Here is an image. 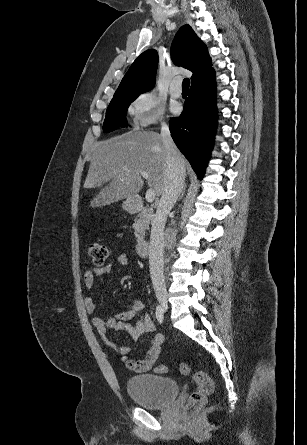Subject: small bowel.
<instances>
[{"label":"small bowel","mask_w":307,"mask_h":445,"mask_svg":"<svg viewBox=\"0 0 307 445\" xmlns=\"http://www.w3.org/2000/svg\"><path fill=\"white\" fill-rule=\"evenodd\" d=\"M129 263L127 254H119L111 263L98 268H90L84 274V283L88 289H91L96 281V278L106 275L112 271L115 266H126ZM85 307L89 314H95L97 305L92 298L85 300ZM144 304L140 300H134L132 305L108 318L94 316L92 323L105 343L118 352L125 365L136 373H142L150 370L160 354L161 346L164 337L161 334H155L146 352L144 359L133 360L129 358L130 348L127 346H119L115 341L107 337L110 330L126 331L133 339H139L143 334L153 333L155 331V324L151 317L143 312Z\"/></svg>","instance_id":"small-bowel-1"}]
</instances>
